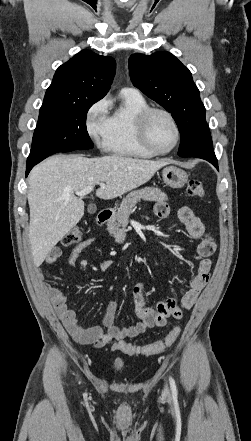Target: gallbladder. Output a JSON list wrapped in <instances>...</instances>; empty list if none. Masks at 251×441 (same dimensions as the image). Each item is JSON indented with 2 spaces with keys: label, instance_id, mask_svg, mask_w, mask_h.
<instances>
[{
  "label": "gallbladder",
  "instance_id": "gallbladder-1",
  "mask_svg": "<svg viewBox=\"0 0 251 441\" xmlns=\"http://www.w3.org/2000/svg\"><path fill=\"white\" fill-rule=\"evenodd\" d=\"M96 210H97L96 205H94V204H90V205L88 206V212H89V213L93 214V213L96 212Z\"/></svg>",
  "mask_w": 251,
  "mask_h": 441
}]
</instances>
